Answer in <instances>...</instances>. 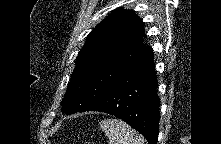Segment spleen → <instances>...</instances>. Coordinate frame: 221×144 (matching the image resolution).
<instances>
[{
  "label": "spleen",
  "mask_w": 221,
  "mask_h": 144,
  "mask_svg": "<svg viewBox=\"0 0 221 144\" xmlns=\"http://www.w3.org/2000/svg\"><path fill=\"white\" fill-rule=\"evenodd\" d=\"M110 144H144V138L120 119H105L100 122Z\"/></svg>",
  "instance_id": "3e777b00"
}]
</instances>
